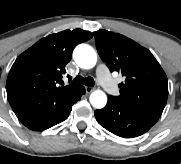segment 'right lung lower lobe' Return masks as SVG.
<instances>
[{
	"label": "right lung lower lobe",
	"instance_id": "98d812e1",
	"mask_svg": "<svg viewBox=\"0 0 181 164\" xmlns=\"http://www.w3.org/2000/svg\"><path fill=\"white\" fill-rule=\"evenodd\" d=\"M83 94H85V88L80 87V89L75 92L73 96L69 97L67 101L53 107L50 110L42 112L18 113L16 116L20 122L29 129L42 131L66 120L73 104L80 100Z\"/></svg>",
	"mask_w": 181,
	"mask_h": 164
}]
</instances>
